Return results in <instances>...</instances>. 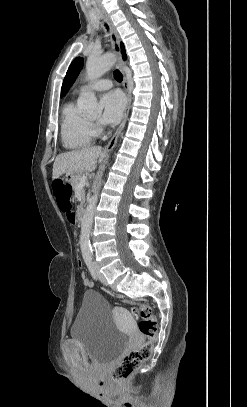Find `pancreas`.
I'll return each mask as SVG.
<instances>
[{
	"label": "pancreas",
	"mask_w": 247,
	"mask_h": 407,
	"mask_svg": "<svg viewBox=\"0 0 247 407\" xmlns=\"http://www.w3.org/2000/svg\"><path fill=\"white\" fill-rule=\"evenodd\" d=\"M81 178H82L81 175H77V176H75L74 179L72 180L71 184H72L74 190H76V189L78 188V185H79V183H80ZM81 199H82V201H81V204H80L79 207H82V205H83V203H84V201H85L84 189L81 190Z\"/></svg>",
	"instance_id": "cf45deb5"
}]
</instances>
